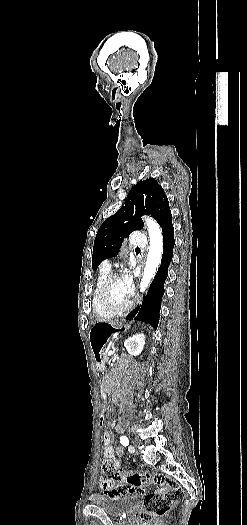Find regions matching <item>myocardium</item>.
I'll return each instance as SVG.
<instances>
[{
  "label": "myocardium",
  "mask_w": 247,
  "mask_h": 525,
  "mask_svg": "<svg viewBox=\"0 0 247 525\" xmlns=\"http://www.w3.org/2000/svg\"><path fill=\"white\" fill-rule=\"evenodd\" d=\"M121 276L120 273L118 274H110L98 287L97 293L100 298V305L102 309L109 313H113L117 308H130L132 306V303L129 301V299H126L125 301H117L112 300L107 296L108 288L111 284V282L119 278Z\"/></svg>",
  "instance_id": "myocardium-1"
}]
</instances>
